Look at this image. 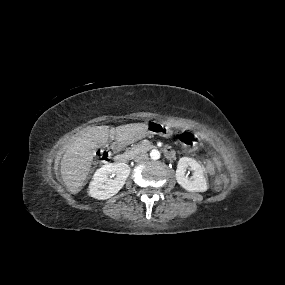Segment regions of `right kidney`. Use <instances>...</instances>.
Listing matches in <instances>:
<instances>
[{
  "label": "right kidney",
  "instance_id": "right-kidney-1",
  "mask_svg": "<svg viewBox=\"0 0 285 285\" xmlns=\"http://www.w3.org/2000/svg\"><path fill=\"white\" fill-rule=\"evenodd\" d=\"M130 174L125 163H108L97 169L89 184V195L98 200L108 199L117 194ZM115 178H109V176Z\"/></svg>",
  "mask_w": 285,
  "mask_h": 285
}]
</instances>
